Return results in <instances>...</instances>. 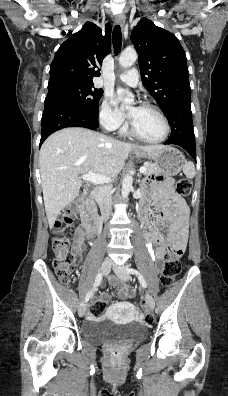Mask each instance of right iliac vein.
Returning a JSON list of instances; mask_svg holds the SVG:
<instances>
[{
	"label": "right iliac vein",
	"instance_id": "right-iliac-vein-1",
	"mask_svg": "<svg viewBox=\"0 0 228 396\" xmlns=\"http://www.w3.org/2000/svg\"><path fill=\"white\" fill-rule=\"evenodd\" d=\"M111 266H112L111 260L109 258H105L101 266L102 274L103 275L108 274L111 269ZM86 309H87L86 302H82L78 308V314L80 317H83L85 315Z\"/></svg>",
	"mask_w": 228,
	"mask_h": 396
}]
</instances>
